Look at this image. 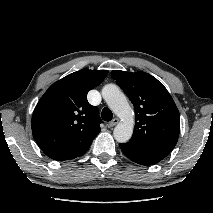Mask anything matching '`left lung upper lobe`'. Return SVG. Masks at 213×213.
<instances>
[{"label":"left lung upper lobe","mask_w":213,"mask_h":213,"mask_svg":"<svg viewBox=\"0 0 213 213\" xmlns=\"http://www.w3.org/2000/svg\"><path fill=\"white\" fill-rule=\"evenodd\" d=\"M111 75L135 108L134 133L127 144L147 154L168 156L178 141L180 117L167 89L145 72L112 71Z\"/></svg>","instance_id":"obj_1"}]
</instances>
